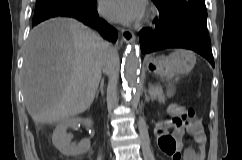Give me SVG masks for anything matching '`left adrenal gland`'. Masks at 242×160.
<instances>
[{
    "mask_svg": "<svg viewBox=\"0 0 242 160\" xmlns=\"http://www.w3.org/2000/svg\"><path fill=\"white\" fill-rule=\"evenodd\" d=\"M145 97H146V99H147V98H148V95L146 94Z\"/></svg>",
    "mask_w": 242,
    "mask_h": 160,
    "instance_id": "a2214340",
    "label": "left adrenal gland"
}]
</instances>
